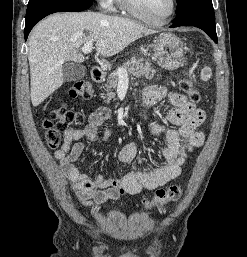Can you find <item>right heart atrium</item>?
<instances>
[{"label":"right heart atrium","mask_w":247,"mask_h":257,"mask_svg":"<svg viewBox=\"0 0 247 257\" xmlns=\"http://www.w3.org/2000/svg\"><path fill=\"white\" fill-rule=\"evenodd\" d=\"M103 10L110 11L114 8L116 0H97Z\"/></svg>","instance_id":"obj_1"}]
</instances>
